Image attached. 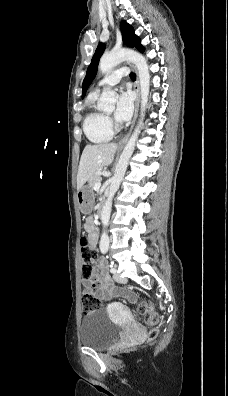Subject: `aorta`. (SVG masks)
<instances>
[{
    "label": "aorta",
    "instance_id": "obj_1",
    "mask_svg": "<svg viewBox=\"0 0 228 396\" xmlns=\"http://www.w3.org/2000/svg\"><path fill=\"white\" fill-rule=\"evenodd\" d=\"M123 61H129L134 63L138 69L141 89V112L139 124L135 128L130 139L128 140L116 165L115 174L110 180L109 194L101 212V221L104 229L107 227L110 220L113 197L120 186V183L127 170L129 160L135 149L136 140L140 133V126L143 122L145 110L148 105V95L150 89V74L147 61L145 57L137 51L131 49H119L113 50L108 54H104L99 62V70L102 73L108 72ZM117 98L118 95L116 92L111 90H104L99 99L98 107L103 111L113 109ZM109 243V237L106 231L103 230L100 238V250L102 252H106L109 248Z\"/></svg>",
    "mask_w": 228,
    "mask_h": 396
}]
</instances>
